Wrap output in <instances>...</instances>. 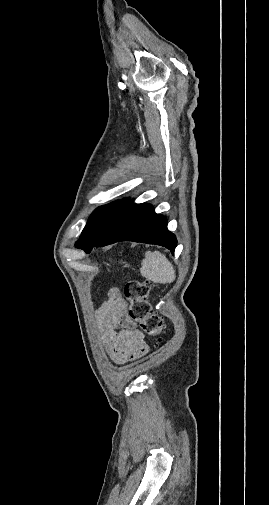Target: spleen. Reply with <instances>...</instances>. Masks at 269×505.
<instances>
[{"label":"spleen","instance_id":"obj_1","mask_svg":"<svg viewBox=\"0 0 269 505\" xmlns=\"http://www.w3.org/2000/svg\"><path fill=\"white\" fill-rule=\"evenodd\" d=\"M141 265V275L154 283H172L176 278L173 265L159 251L146 252Z\"/></svg>","mask_w":269,"mask_h":505}]
</instances>
